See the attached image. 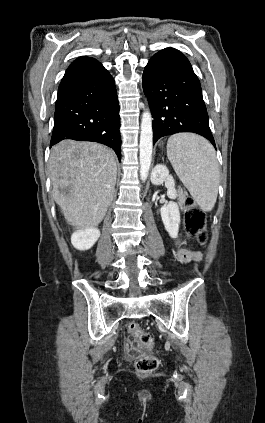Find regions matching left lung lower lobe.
<instances>
[{
    "label": "left lung lower lobe",
    "instance_id": "0a47b994",
    "mask_svg": "<svg viewBox=\"0 0 265 423\" xmlns=\"http://www.w3.org/2000/svg\"><path fill=\"white\" fill-rule=\"evenodd\" d=\"M153 120V143L178 132H193L215 146L199 79L188 59L174 48L156 53L142 77Z\"/></svg>",
    "mask_w": 265,
    "mask_h": 423
}]
</instances>
